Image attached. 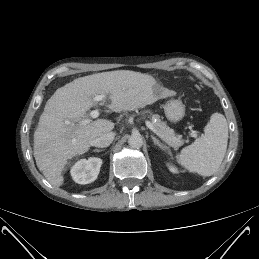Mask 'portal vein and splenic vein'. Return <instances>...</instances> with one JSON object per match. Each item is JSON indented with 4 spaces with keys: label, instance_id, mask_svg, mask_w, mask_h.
Returning a JSON list of instances; mask_svg holds the SVG:
<instances>
[{
    "label": "portal vein and splenic vein",
    "instance_id": "obj_1",
    "mask_svg": "<svg viewBox=\"0 0 259 259\" xmlns=\"http://www.w3.org/2000/svg\"><path fill=\"white\" fill-rule=\"evenodd\" d=\"M105 96H106V95H103V94H101V95H96V96L94 97V101L100 102V101L103 100V98H105ZM90 116H91V118L95 119V118H97V117L99 116V112H98L97 110H92V111L90 112ZM90 122H91L90 119H85V120L82 121L83 124H88V123H90ZM145 123H146V126H147L151 131H153L156 135H158V136L161 137V138L163 137V136L155 129V127L153 126V124H152L151 122L146 121Z\"/></svg>",
    "mask_w": 259,
    "mask_h": 259
}]
</instances>
